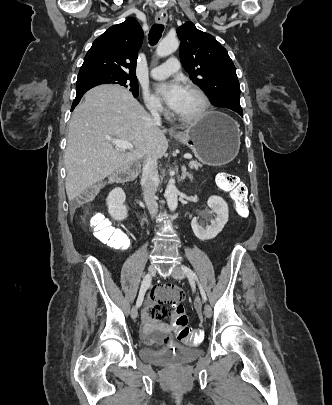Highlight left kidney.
I'll use <instances>...</instances> for the list:
<instances>
[{
    "instance_id": "5707ae66",
    "label": "left kidney",
    "mask_w": 332,
    "mask_h": 405,
    "mask_svg": "<svg viewBox=\"0 0 332 405\" xmlns=\"http://www.w3.org/2000/svg\"><path fill=\"white\" fill-rule=\"evenodd\" d=\"M207 203L211 210L204 212L203 216L210 220L211 224L204 228L197 217H194L191 221L192 230L200 240L214 239L222 231L229 218L228 205L223 198L211 196ZM213 214L216 215L215 218H213Z\"/></svg>"
}]
</instances>
